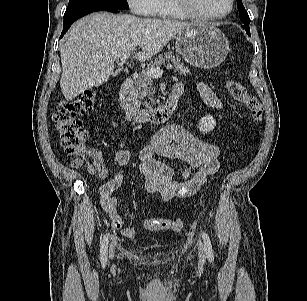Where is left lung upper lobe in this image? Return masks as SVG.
I'll list each match as a JSON object with an SVG mask.
<instances>
[{
  "label": "left lung upper lobe",
  "mask_w": 307,
  "mask_h": 301,
  "mask_svg": "<svg viewBox=\"0 0 307 301\" xmlns=\"http://www.w3.org/2000/svg\"><path fill=\"white\" fill-rule=\"evenodd\" d=\"M237 1V7L240 13V19L242 21L243 28L245 29L246 32L250 33V28H249V24H250V18L249 15L247 13V11L245 10L243 4H242V0H236Z\"/></svg>",
  "instance_id": "left-lung-upper-lobe-1"
}]
</instances>
